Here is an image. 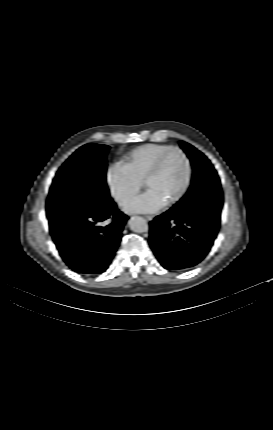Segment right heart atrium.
<instances>
[{"mask_svg":"<svg viewBox=\"0 0 273 430\" xmlns=\"http://www.w3.org/2000/svg\"><path fill=\"white\" fill-rule=\"evenodd\" d=\"M105 181L111 196L120 206L127 204L142 187V182L120 162L108 166Z\"/></svg>","mask_w":273,"mask_h":430,"instance_id":"obj_1","label":"right heart atrium"}]
</instances>
